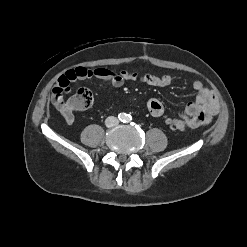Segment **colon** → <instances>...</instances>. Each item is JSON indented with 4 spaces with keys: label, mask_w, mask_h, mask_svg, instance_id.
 <instances>
[{
    "label": "colon",
    "mask_w": 247,
    "mask_h": 247,
    "mask_svg": "<svg viewBox=\"0 0 247 247\" xmlns=\"http://www.w3.org/2000/svg\"><path fill=\"white\" fill-rule=\"evenodd\" d=\"M71 107L74 110H84L89 108L93 103V95L87 88H80L76 94L69 100ZM167 125L175 131H183L186 125L183 121L177 119H169Z\"/></svg>",
    "instance_id": "5ec220e1"
}]
</instances>
